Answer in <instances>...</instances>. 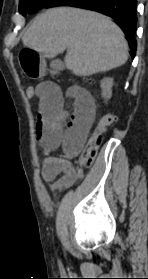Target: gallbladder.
I'll list each match as a JSON object with an SVG mask.
<instances>
[{
	"instance_id": "1",
	"label": "gallbladder",
	"mask_w": 148,
	"mask_h": 279,
	"mask_svg": "<svg viewBox=\"0 0 148 279\" xmlns=\"http://www.w3.org/2000/svg\"><path fill=\"white\" fill-rule=\"evenodd\" d=\"M50 67L54 70H62L63 69V64L60 60H53L50 63Z\"/></svg>"
}]
</instances>
